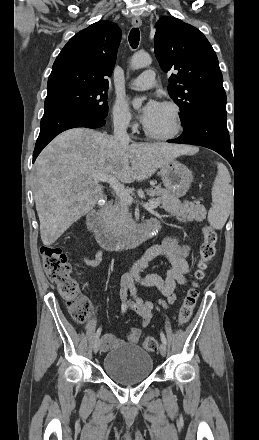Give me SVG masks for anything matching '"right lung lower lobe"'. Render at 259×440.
Instances as JSON below:
<instances>
[{
	"instance_id": "98d812e1",
	"label": "right lung lower lobe",
	"mask_w": 259,
	"mask_h": 440,
	"mask_svg": "<svg viewBox=\"0 0 259 440\" xmlns=\"http://www.w3.org/2000/svg\"><path fill=\"white\" fill-rule=\"evenodd\" d=\"M105 119L80 111H61L44 114L40 123V133L36 141L33 162L42 149L59 133L76 127L99 128Z\"/></svg>"
}]
</instances>
